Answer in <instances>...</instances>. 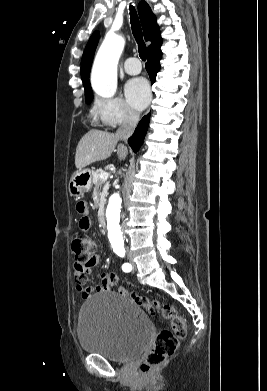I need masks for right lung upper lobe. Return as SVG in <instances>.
Listing matches in <instances>:
<instances>
[{"label": "right lung upper lobe", "instance_id": "cb5924a9", "mask_svg": "<svg viewBox=\"0 0 267 391\" xmlns=\"http://www.w3.org/2000/svg\"><path fill=\"white\" fill-rule=\"evenodd\" d=\"M138 13L144 32V38L146 41H151V44L148 46V54H150L161 47L162 38L159 27L157 25L155 15L152 13L149 5L145 1H141L139 3ZM98 40L99 31H95L87 43L81 61V78L85 88V93L92 91L89 82V73Z\"/></svg>", "mask_w": 267, "mask_h": 391}]
</instances>
